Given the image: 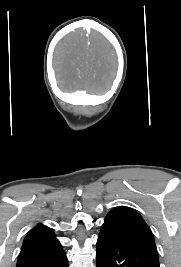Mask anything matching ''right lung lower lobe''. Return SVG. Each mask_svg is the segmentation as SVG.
<instances>
[{"label":"right lung lower lobe","mask_w":181,"mask_h":267,"mask_svg":"<svg viewBox=\"0 0 181 267\" xmlns=\"http://www.w3.org/2000/svg\"><path fill=\"white\" fill-rule=\"evenodd\" d=\"M16 267H68L62 248L56 250H22Z\"/></svg>","instance_id":"98d812e1"}]
</instances>
